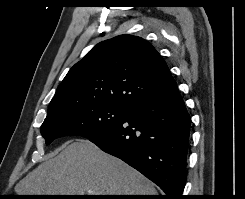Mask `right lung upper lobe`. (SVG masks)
Masks as SVG:
<instances>
[{"instance_id": "obj_1", "label": "right lung upper lobe", "mask_w": 245, "mask_h": 199, "mask_svg": "<svg viewBox=\"0 0 245 199\" xmlns=\"http://www.w3.org/2000/svg\"><path fill=\"white\" fill-rule=\"evenodd\" d=\"M176 88L165 61L147 40L120 35L97 44L69 70L47 115L85 103L129 109Z\"/></svg>"}]
</instances>
